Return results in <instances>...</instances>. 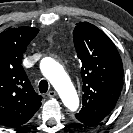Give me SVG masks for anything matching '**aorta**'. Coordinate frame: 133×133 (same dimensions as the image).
Segmentation results:
<instances>
[{
    "mask_svg": "<svg viewBox=\"0 0 133 133\" xmlns=\"http://www.w3.org/2000/svg\"><path fill=\"white\" fill-rule=\"evenodd\" d=\"M40 69L42 74L58 92L63 104L71 111L77 110L79 98L63 67L54 59L46 57L41 61Z\"/></svg>",
    "mask_w": 133,
    "mask_h": 133,
    "instance_id": "762f6f07",
    "label": "aorta"
}]
</instances>
